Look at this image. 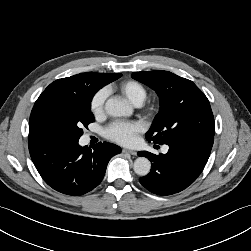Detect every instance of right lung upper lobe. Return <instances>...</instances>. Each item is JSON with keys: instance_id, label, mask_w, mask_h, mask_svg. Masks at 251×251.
Masks as SVG:
<instances>
[{"instance_id": "cb5924a9", "label": "right lung upper lobe", "mask_w": 251, "mask_h": 251, "mask_svg": "<svg viewBox=\"0 0 251 251\" xmlns=\"http://www.w3.org/2000/svg\"><path fill=\"white\" fill-rule=\"evenodd\" d=\"M106 75H116V74H109L103 73ZM87 73L77 74L71 77L62 78L54 81L51 83L39 96L38 99H42L48 96H62V95H69L78 91L81 83L84 81ZM29 135H38L35 131L32 123H29Z\"/></svg>"}]
</instances>
